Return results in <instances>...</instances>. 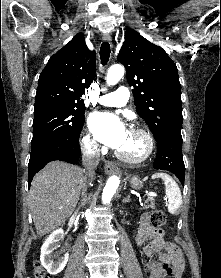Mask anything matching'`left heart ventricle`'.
<instances>
[{"label": "left heart ventricle", "instance_id": "left-heart-ventricle-1", "mask_svg": "<svg viewBox=\"0 0 221 278\" xmlns=\"http://www.w3.org/2000/svg\"><path fill=\"white\" fill-rule=\"evenodd\" d=\"M145 149L144 138L139 134L129 132L125 144L118 150L128 157L138 158L144 154Z\"/></svg>", "mask_w": 221, "mask_h": 278}]
</instances>
